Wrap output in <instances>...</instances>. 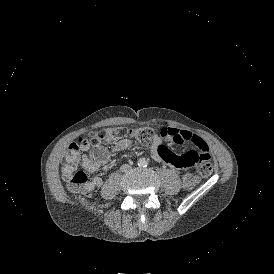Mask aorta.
Wrapping results in <instances>:
<instances>
[{"mask_svg":"<svg viewBox=\"0 0 274 274\" xmlns=\"http://www.w3.org/2000/svg\"><path fill=\"white\" fill-rule=\"evenodd\" d=\"M138 165L139 166H146L147 165V160H145V159H139Z\"/></svg>","mask_w":274,"mask_h":274,"instance_id":"aorta-1","label":"aorta"}]
</instances>
